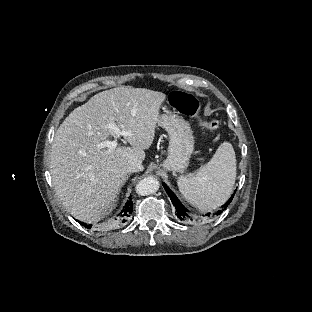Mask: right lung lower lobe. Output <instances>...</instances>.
Masks as SVG:
<instances>
[{
    "instance_id": "right-lung-lower-lobe-1",
    "label": "right lung lower lobe",
    "mask_w": 312,
    "mask_h": 312,
    "mask_svg": "<svg viewBox=\"0 0 312 312\" xmlns=\"http://www.w3.org/2000/svg\"><path fill=\"white\" fill-rule=\"evenodd\" d=\"M132 209H133V202L130 200L127 201L126 205L124 206V209L121 211L120 213V219L121 218H126L129 217L130 214L132 213ZM119 216V215H118ZM126 220H123V222H125ZM79 222V221H78ZM81 225L85 226L86 228H91L92 225H87L85 223L79 222Z\"/></svg>"
}]
</instances>
